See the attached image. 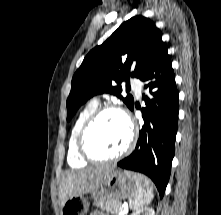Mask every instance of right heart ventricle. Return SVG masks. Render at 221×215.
<instances>
[{"label":"right heart ventricle","instance_id":"obj_1","mask_svg":"<svg viewBox=\"0 0 221 215\" xmlns=\"http://www.w3.org/2000/svg\"><path fill=\"white\" fill-rule=\"evenodd\" d=\"M97 107H98L97 100L89 101L80 111L72 126L68 141V151H67V161L71 167L79 168L87 164V161H85L77 151V144H76L77 136L85 120Z\"/></svg>","mask_w":221,"mask_h":215}]
</instances>
